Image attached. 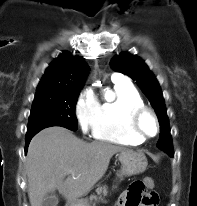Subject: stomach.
I'll list each match as a JSON object with an SVG mask.
<instances>
[{
    "instance_id": "0dacf381",
    "label": "stomach",
    "mask_w": 197,
    "mask_h": 206,
    "mask_svg": "<svg viewBox=\"0 0 197 206\" xmlns=\"http://www.w3.org/2000/svg\"><path fill=\"white\" fill-rule=\"evenodd\" d=\"M119 161L121 162V171L119 177L137 175L145 171L148 162L143 153L131 150L120 152ZM70 206H89L86 199L72 202Z\"/></svg>"
}]
</instances>
